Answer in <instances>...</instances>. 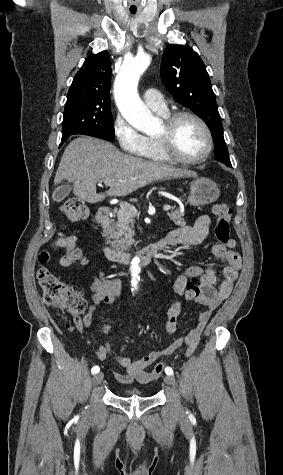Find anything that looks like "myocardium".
<instances>
[{"label":"myocardium","instance_id":"myocardium-1","mask_svg":"<svg viewBox=\"0 0 283 475\" xmlns=\"http://www.w3.org/2000/svg\"><path fill=\"white\" fill-rule=\"evenodd\" d=\"M183 118H191L200 124L204 130L206 136V148L204 152L198 156L192 158L172 157L166 152V144L172 143V136L175 130L176 124ZM164 135L156 137L158 141L159 154L164 162H199L206 160L213 151V138L212 133L206 122L197 114L189 111H178L168 114L165 118Z\"/></svg>","mask_w":283,"mask_h":475}]
</instances>
